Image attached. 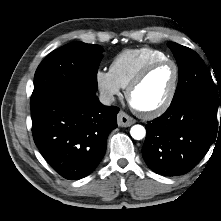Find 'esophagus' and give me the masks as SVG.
Listing matches in <instances>:
<instances>
[{
  "mask_svg": "<svg viewBox=\"0 0 221 221\" xmlns=\"http://www.w3.org/2000/svg\"><path fill=\"white\" fill-rule=\"evenodd\" d=\"M117 123H118V126L120 127H129L135 123V119L130 117L125 112L120 111L117 116Z\"/></svg>",
  "mask_w": 221,
  "mask_h": 221,
  "instance_id": "obj_1",
  "label": "esophagus"
}]
</instances>
